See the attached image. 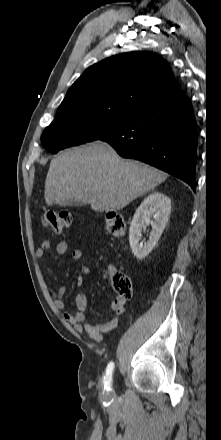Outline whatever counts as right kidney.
Instances as JSON below:
<instances>
[{"mask_svg": "<svg viewBox=\"0 0 221 440\" xmlns=\"http://www.w3.org/2000/svg\"><path fill=\"white\" fill-rule=\"evenodd\" d=\"M171 210V200L161 192L149 194L136 210L129 229V242L134 256L142 260L155 247L167 222ZM153 217L154 220H151ZM151 224L152 231L149 240L140 243L141 232L146 225Z\"/></svg>", "mask_w": 221, "mask_h": 440, "instance_id": "ca27d5eb", "label": "right kidney"}]
</instances>
